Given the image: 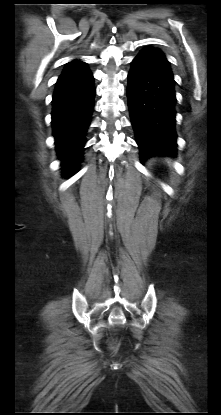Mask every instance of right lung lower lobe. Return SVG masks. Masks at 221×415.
<instances>
[{"label": "right lung lower lobe", "instance_id": "right-lung-lower-lobe-1", "mask_svg": "<svg viewBox=\"0 0 221 415\" xmlns=\"http://www.w3.org/2000/svg\"><path fill=\"white\" fill-rule=\"evenodd\" d=\"M93 76L85 63L67 65L52 99V127L57 154L66 173L82 159L85 135L94 107Z\"/></svg>", "mask_w": 221, "mask_h": 415}]
</instances>
